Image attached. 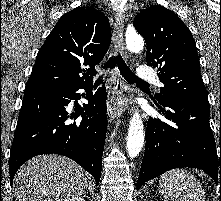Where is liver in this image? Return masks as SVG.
<instances>
[{"instance_id": "1", "label": "liver", "mask_w": 221, "mask_h": 201, "mask_svg": "<svg viewBox=\"0 0 221 201\" xmlns=\"http://www.w3.org/2000/svg\"><path fill=\"white\" fill-rule=\"evenodd\" d=\"M89 176L73 160L43 155L23 164L14 177L17 201H67L88 187Z\"/></svg>"}]
</instances>
